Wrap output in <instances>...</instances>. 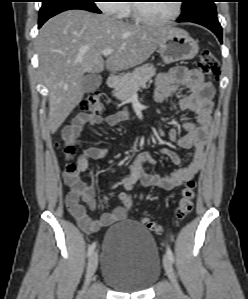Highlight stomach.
Instances as JSON below:
<instances>
[{
	"label": "stomach",
	"mask_w": 248,
	"mask_h": 299,
	"mask_svg": "<svg viewBox=\"0 0 248 299\" xmlns=\"http://www.w3.org/2000/svg\"><path fill=\"white\" fill-rule=\"evenodd\" d=\"M197 42L182 30L173 28L159 45V53L165 64L190 60L198 53Z\"/></svg>",
	"instance_id": "stomach-1"
}]
</instances>
